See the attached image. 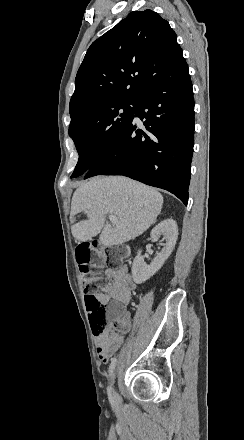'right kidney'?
<instances>
[{"label": "right kidney", "instance_id": "ca27d5eb", "mask_svg": "<svg viewBox=\"0 0 244 440\" xmlns=\"http://www.w3.org/2000/svg\"><path fill=\"white\" fill-rule=\"evenodd\" d=\"M150 236L152 240H157L159 236H163L166 244H160V246H164V248L157 254L150 266H147L143 256H141V250H138L132 266V278L135 284H143V282L149 280L151 276H154L155 272H158V270L162 268L165 260H167L171 252H173L178 238V228L175 220H172V218L163 220V222H160L158 226L153 228Z\"/></svg>", "mask_w": 244, "mask_h": 440}]
</instances>
